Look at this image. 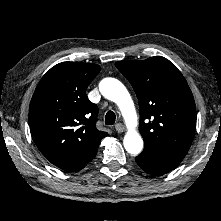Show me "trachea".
I'll return each instance as SVG.
<instances>
[{"label": "trachea", "instance_id": "1", "mask_svg": "<svg viewBox=\"0 0 221 221\" xmlns=\"http://www.w3.org/2000/svg\"><path fill=\"white\" fill-rule=\"evenodd\" d=\"M115 120H116L115 113L111 110L108 111L105 116V124L106 125H113L115 123Z\"/></svg>", "mask_w": 221, "mask_h": 221}]
</instances>
